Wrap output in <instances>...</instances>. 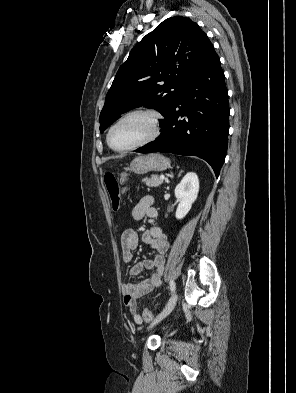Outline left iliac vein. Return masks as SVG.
Here are the masks:
<instances>
[{"label":"left iliac vein","mask_w":296,"mask_h":393,"mask_svg":"<svg viewBox=\"0 0 296 393\" xmlns=\"http://www.w3.org/2000/svg\"><path fill=\"white\" fill-rule=\"evenodd\" d=\"M177 299H178V294L174 293L170 297V299L168 300L163 311L156 317V319L154 320V322L151 324L150 327L156 325L157 323H159L161 320H163L167 315H169L171 313V311L174 309V307L176 305Z\"/></svg>","instance_id":"left-iliac-vein-1"}]
</instances>
